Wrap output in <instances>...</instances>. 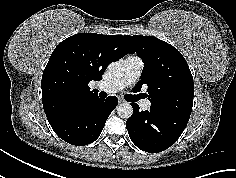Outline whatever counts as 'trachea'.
<instances>
[{"instance_id":"obj_1","label":"trachea","mask_w":236,"mask_h":178,"mask_svg":"<svg viewBox=\"0 0 236 178\" xmlns=\"http://www.w3.org/2000/svg\"><path fill=\"white\" fill-rule=\"evenodd\" d=\"M125 97H126V99H127L128 101H133V100H134V97L131 96V95H127V96H125Z\"/></svg>"}]
</instances>
